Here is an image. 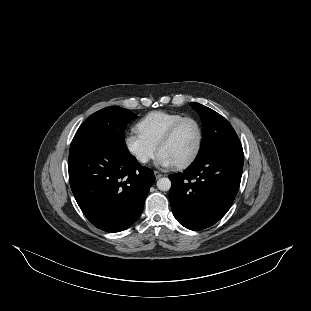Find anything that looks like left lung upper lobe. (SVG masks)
Returning <instances> with one entry per match:
<instances>
[{"label": "left lung upper lobe", "instance_id": "left-lung-upper-lobe-1", "mask_svg": "<svg viewBox=\"0 0 311 311\" xmlns=\"http://www.w3.org/2000/svg\"><path fill=\"white\" fill-rule=\"evenodd\" d=\"M190 105L199 113L203 123V139L195 162L224 149L241 146L236 132L223 116L199 103Z\"/></svg>", "mask_w": 311, "mask_h": 311}]
</instances>
